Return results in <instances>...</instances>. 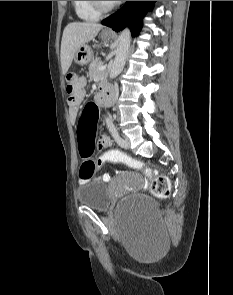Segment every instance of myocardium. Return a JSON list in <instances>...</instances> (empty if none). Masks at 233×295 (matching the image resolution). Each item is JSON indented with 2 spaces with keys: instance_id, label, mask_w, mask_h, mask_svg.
Returning a JSON list of instances; mask_svg holds the SVG:
<instances>
[{
  "instance_id": "f54148a6",
  "label": "myocardium",
  "mask_w": 233,
  "mask_h": 295,
  "mask_svg": "<svg viewBox=\"0 0 233 295\" xmlns=\"http://www.w3.org/2000/svg\"><path fill=\"white\" fill-rule=\"evenodd\" d=\"M91 6L95 11H97L99 14H104L112 11L117 6L118 2H114L110 5H105L102 1H89Z\"/></svg>"
}]
</instances>
